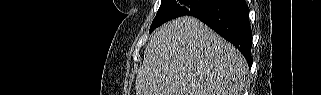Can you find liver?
Listing matches in <instances>:
<instances>
[{
  "instance_id": "liver-1",
  "label": "liver",
  "mask_w": 321,
  "mask_h": 95,
  "mask_svg": "<svg viewBox=\"0 0 321 95\" xmlns=\"http://www.w3.org/2000/svg\"><path fill=\"white\" fill-rule=\"evenodd\" d=\"M247 74V62L232 44L183 16L153 32L136 95H241Z\"/></svg>"
}]
</instances>
